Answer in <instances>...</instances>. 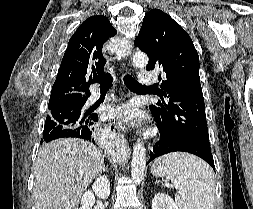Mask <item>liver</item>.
<instances>
[{
    "label": "liver",
    "instance_id": "1",
    "mask_svg": "<svg viewBox=\"0 0 253 209\" xmlns=\"http://www.w3.org/2000/svg\"><path fill=\"white\" fill-rule=\"evenodd\" d=\"M104 156L85 140L64 138L45 144L34 167L36 209H77L83 192L102 172Z\"/></svg>",
    "mask_w": 253,
    "mask_h": 209
}]
</instances>
